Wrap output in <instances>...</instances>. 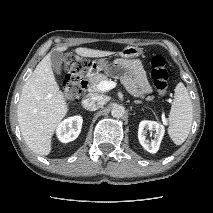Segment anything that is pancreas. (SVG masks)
<instances>
[{
  "label": "pancreas",
  "mask_w": 213,
  "mask_h": 213,
  "mask_svg": "<svg viewBox=\"0 0 213 213\" xmlns=\"http://www.w3.org/2000/svg\"><path fill=\"white\" fill-rule=\"evenodd\" d=\"M89 86L92 91H97V85L102 81H108V78L104 74H94L88 76ZM154 96H148L146 101H152Z\"/></svg>",
  "instance_id": "cf45deb5"
}]
</instances>
